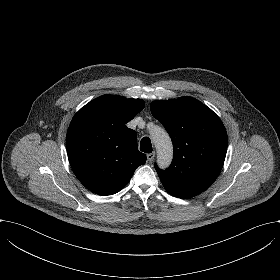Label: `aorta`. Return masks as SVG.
<instances>
[{
	"label": "aorta",
	"instance_id": "1",
	"mask_svg": "<svg viewBox=\"0 0 280 280\" xmlns=\"http://www.w3.org/2000/svg\"><path fill=\"white\" fill-rule=\"evenodd\" d=\"M152 142L157 150L159 168L169 167L173 159V147L169 135L163 129H160V134L152 135Z\"/></svg>",
	"mask_w": 280,
	"mask_h": 280
}]
</instances>
